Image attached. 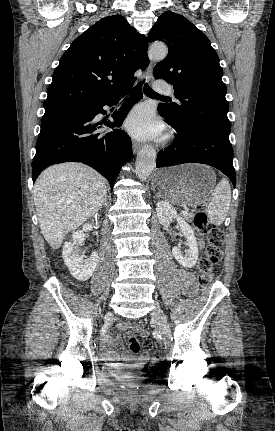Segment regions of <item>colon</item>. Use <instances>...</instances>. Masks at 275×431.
Wrapping results in <instances>:
<instances>
[{
    "instance_id": "colon-1",
    "label": "colon",
    "mask_w": 275,
    "mask_h": 431,
    "mask_svg": "<svg viewBox=\"0 0 275 431\" xmlns=\"http://www.w3.org/2000/svg\"><path fill=\"white\" fill-rule=\"evenodd\" d=\"M194 225L208 239V246L197 267L198 282L204 286L212 280L215 268L222 260L224 233L218 226L208 221L204 212L196 213ZM153 347L154 344L151 340H146L140 344L135 335L132 332L129 333V348L133 353L138 354L140 359L147 360Z\"/></svg>"
}]
</instances>
